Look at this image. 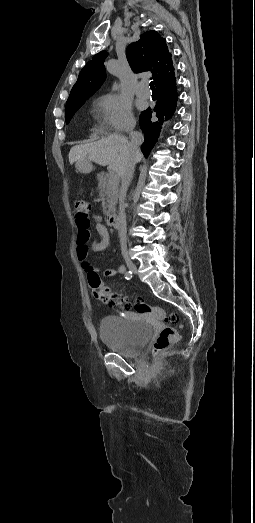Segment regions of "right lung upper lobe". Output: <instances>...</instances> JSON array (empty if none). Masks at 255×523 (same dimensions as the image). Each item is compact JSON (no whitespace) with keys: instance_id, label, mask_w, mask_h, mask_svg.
I'll return each instance as SVG.
<instances>
[{"instance_id":"obj_1","label":"right lung upper lobe","mask_w":255,"mask_h":523,"mask_svg":"<svg viewBox=\"0 0 255 523\" xmlns=\"http://www.w3.org/2000/svg\"><path fill=\"white\" fill-rule=\"evenodd\" d=\"M127 59L135 73L149 71L156 86V105L140 115V128L144 133L141 150L148 156L155 145L163 122L169 120L177 106V78L165 39L156 31L140 35V39L127 48ZM106 51L96 54L81 70L67 103L85 102L103 84L106 78L104 61Z\"/></svg>"}]
</instances>
